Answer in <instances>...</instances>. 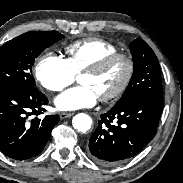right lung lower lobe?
<instances>
[{
  "mask_svg": "<svg viewBox=\"0 0 183 183\" xmlns=\"http://www.w3.org/2000/svg\"><path fill=\"white\" fill-rule=\"evenodd\" d=\"M47 97L32 86L0 88V151L16 160L37 156L47 143L58 115L45 112ZM35 115L34 119L30 116Z\"/></svg>",
  "mask_w": 183,
  "mask_h": 183,
  "instance_id": "98d812e1",
  "label": "right lung lower lobe"
}]
</instances>
